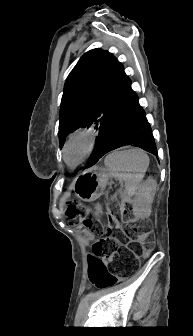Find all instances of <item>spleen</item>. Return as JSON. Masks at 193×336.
<instances>
[{"label":"spleen","mask_w":193,"mask_h":336,"mask_svg":"<svg viewBox=\"0 0 193 336\" xmlns=\"http://www.w3.org/2000/svg\"><path fill=\"white\" fill-rule=\"evenodd\" d=\"M149 161L146 152L139 148L115 150L106 156L104 163L107 170L113 177L124 181L125 191L121 197L125 202H130L137 194L136 191L148 169ZM97 209L101 210L99 205Z\"/></svg>","instance_id":"1"}]
</instances>
